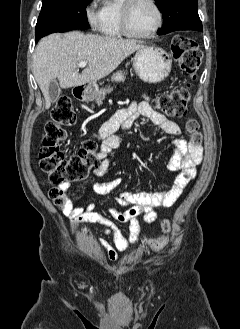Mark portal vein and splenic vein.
<instances>
[{
    "label": "portal vein and splenic vein",
    "instance_id": "1",
    "mask_svg": "<svg viewBox=\"0 0 240 329\" xmlns=\"http://www.w3.org/2000/svg\"><path fill=\"white\" fill-rule=\"evenodd\" d=\"M86 65H87V62H80L78 65H77V67H80V68H84V67H86Z\"/></svg>",
    "mask_w": 240,
    "mask_h": 329
}]
</instances>
